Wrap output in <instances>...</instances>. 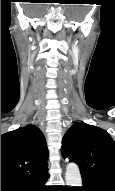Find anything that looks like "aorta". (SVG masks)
Segmentation results:
<instances>
[{"label":"aorta","instance_id":"obj_1","mask_svg":"<svg viewBox=\"0 0 115 191\" xmlns=\"http://www.w3.org/2000/svg\"><path fill=\"white\" fill-rule=\"evenodd\" d=\"M66 184L70 187L82 186V178L78 165L75 163H69L66 167L65 173Z\"/></svg>","mask_w":115,"mask_h":191}]
</instances>
